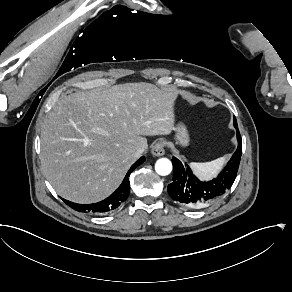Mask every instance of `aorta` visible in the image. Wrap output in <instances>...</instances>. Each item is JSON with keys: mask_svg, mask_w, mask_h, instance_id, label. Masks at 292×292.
Returning a JSON list of instances; mask_svg holds the SVG:
<instances>
[{"mask_svg": "<svg viewBox=\"0 0 292 292\" xmlns=\"http://www.w3.org/2000/svg\"><path fill=\"white\" fill-rule=\"evenodd\" d=\"M155 170L161 176L169 175L172 171V163L168 159H159L156 162Z\"/></svg>", "mask_w": 292, "mask_h": 292, "instance_id": "1", "label": "aorta"}]
</instances>
